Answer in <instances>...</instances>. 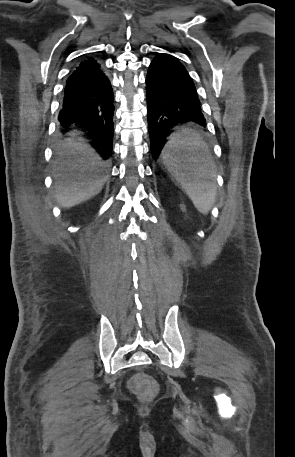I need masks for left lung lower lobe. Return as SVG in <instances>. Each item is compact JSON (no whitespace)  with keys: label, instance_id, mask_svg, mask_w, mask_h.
I'll list each match as a JSON object with an SVG mask.
<instances>
[{"label":"left lung lower lobe","instance_id":"obj_1","mask_svg":"<svg viewBox=\"0 0 295 457\" xmlns=\"http://www.w3.org/2000/svg\"><path fill=\"white\" fill-rule=\"evenodd\" d=\"M148 128L151 151L157 159L179 123L192 121L206 126L197 91L184 65L174 56L159 53L152 60L146 78ZM200 163L198 154H190Z\"/></svg>","mask_w":295,"mask_h":457}]
</instances>
